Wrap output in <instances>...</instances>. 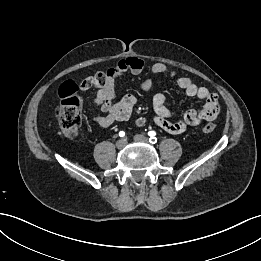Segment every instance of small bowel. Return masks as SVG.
<instances>
[{
	"label": "small bowel",
	"mask_w": 261,
	"mask_h": 261,
	"mask_svg": "<svg viewBox=\"0 0 261 261\" xmlns=\"http://www.w3.org/2000/svg\"><path fill=\"white\" fill-rule=\"evenodd\" d=\"M144 61L137 57H129L119 61L115 66L107 69L104 73L106 84L98 89L94 98V105L100 109L101 115H95L93 120L100 127L107 128L115 122L127 120L136 104V97L133 94H126L119 100H115V80L125 74H140L144 69ZM166 74L175 79L176 84L184 90L189 97H196L204 100L203 107L199 110H189L182 119L171 121V111L166 106L164 93H157L153 97L154 122L164 131L172 134H181L188 127L199 125L204 121L214 120L220 112V104L216 94L211 93L206 87L198 86L191 78L179 75L175 70L164 63H155L150 68L149 75L142 81L140 88L149 91L153 86L154 76ZM85 81V80H84ZM83 81V83H84ZM81 84L83 90L90 89L87 85Z\"/></svg>",
	"instance_id": "obj_1"
}]
</instances>
